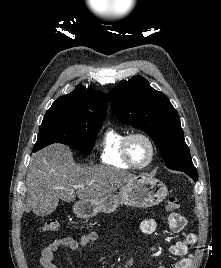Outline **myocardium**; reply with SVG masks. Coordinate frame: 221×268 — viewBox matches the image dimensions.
Wrapping results in <instances>:
<instances>
[{
  "label": "myocardium",
  "mask_w": 221,
  "mask_h": 268,
  "mask_svg": "<svg viewBox=\"0 0 221 268\" xmlns=\"http://www.w3.org/2000/svg\"><path fill=\"white\" fill-rule=\"evenodd\" d=\"M135 138H142L143 140L146 141V143L148 144L149 148H150V156L149 159L146 163L139 165L136 164L131 156H130V152H129V146H130V142L135 139ZM122 153H123V157L125 159V161L132 167L135 169H143L148 167L154 160L155 154H156V147L155 144L153 142V140L151 139V137L149 135H147L146 133L143 132H133L128 134L125 139L123 140V144H122Z\"/></svg>",
  "instance_id": "obj_1"
}]
</instances>
